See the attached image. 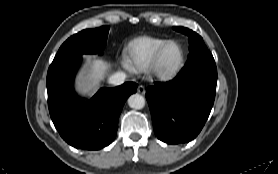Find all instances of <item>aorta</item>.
I'll list each match as a JSON object with an SVG mask.
<instances>
[{"instance_id":"obj_1","label":"aorta","mask_w":278,"mask_h":174,"mask_svg":"<svg viewBox=\"0 0 278 174\" xmlns=\"http://www.w3.org/2000/svg\"><path fill=\"white\" fill-rule=\"evenodd\" d=\"M128 105L133 109L140 110L145 106V99L140 94H132L128 98Z\"/></svg>"}]
</instances>
